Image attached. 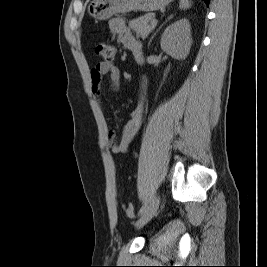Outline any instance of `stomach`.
I'll return each mask as SVG.
<instances>
[{
    "label": "stomach",
    "instance_id": "0dacf381",
    "mask_svg": "<svg viewBox=\"0 0 267 267\" xmlns=\"http://www.w3.org/2000/svg\"><path fill=\"white\" fill-rule=\"evenodd\" d=\"M173 0H93L89 14L97 20H107L118 13L129 11L152 12L164 9Z\"/></svg>",
    "mask_w": 267,
    "mask_h": 267
}]
</instances>
